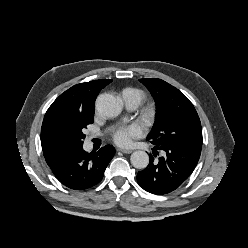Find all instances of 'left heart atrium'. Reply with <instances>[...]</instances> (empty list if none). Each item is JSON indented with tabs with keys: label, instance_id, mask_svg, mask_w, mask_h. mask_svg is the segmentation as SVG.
I'll return each mask as SVG.
<instances>
[{
	"label": "left heart atrium",
	"instance_id": "39dd6f15",
	"mask_svg": "<svg viewBox=\"0 0 248 248\" xmlns=\"http://www.w3.org/2000/svg\"><path fill=\"white\" fill-rule=\"evenodd\" d=\"M142 133L143 129L138 124L122 127L114 132L113 141L118 146L128 147L132 144L133 140L140 137Z\"/></svg>",
	"mask_w": 248,
	"mask_h": 248
}]
</instances>
